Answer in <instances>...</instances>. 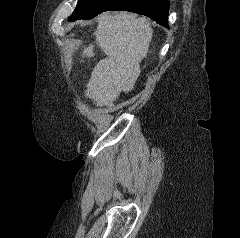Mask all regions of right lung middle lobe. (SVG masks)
Returning a JSON list of instances; mask_svg holds the SVG:
<instances>
[{"label":"right lung middle lobe","instance_id":"right-lung-middle-lobe-1","mask_svg":"<svg viewBox=\"0 0 240 238\" xmlns=\"http://www.w3.org/2000/svg\"><path fill=\"white\" fill-rule=\"evenodd\" d=\"M119 0H78L77 6L69 18V21L79 19L88 20L103 11L109 10Z\"/></svg>","mask_w":240,"mask_h":238}]
</instances>
